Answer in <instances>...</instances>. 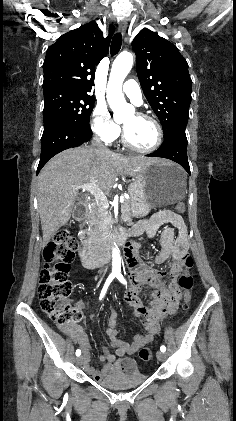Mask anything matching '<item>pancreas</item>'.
<instances>
[{
	"label": "pancreas",
	"instance_id": "1",
	"mask_svg": "<svg viewBox=\"0 0 236 421\" xmlns=\"http://www.w3.org/2000/svg\"><path fill=\"white\" fill-rule=\"evenodd\" d=\"M129 202L130 198H125L122 202L120 219L127 225H133ZM86 217L87 221L84 225H87L88 229L81 231V237L87 241L90 253H95V251L101 249L102 243L108 239V233H110L112 227L111 215L108 208L98 204V202H93L91 211L87 213Z\"/></svg>",
	"mask_w": 236,
	"mask_h": 421
}]
</instances>
